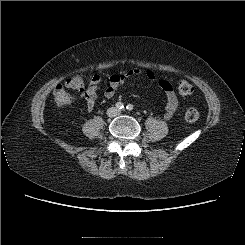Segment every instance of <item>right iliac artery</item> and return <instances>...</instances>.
Returning a JSON list of instances; mask_svg holds the SVG:
<instances>
[{"instance_id":"82829eb1","label":"right iliac artery","mask_w":245,"mask_h":245,"mask_svg":"<svg viewBox=\"0 0 245 245\" xmlns=\"http://www.w3.org/2000/svg\"><path fill=\"white\" fill-rule=\"evenodd\" d=\"M116 108L121 110L124 108V104L122 102H118V103H116Z\"/></svg>"}]
</instances>
